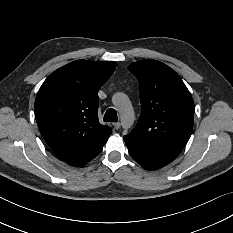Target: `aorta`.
<instances>
[{"instance_id": "762f6f07", "label": "aorta", "mask_w": 233, "mask_h": 233, "mask_svg": "<svg viewBox=\"0 0 233 233\" xmlns=\"http://www.w3.org/2000/svg\"><path fill=\"white\" fill-rule=\"evenodd\" d=\"M113 104L120 113L121 122L129 127L134 121V110L129 98L125 94H116L113 98Z\"/></svg>"}]
</instances>
